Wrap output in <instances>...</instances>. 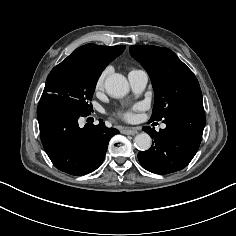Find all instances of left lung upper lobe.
<instances>
[{"mask_svg": "<svg viewBox=\"0 0 236 236\" xmlns=\"http://www.w3.org/2000/svg\"><path fill=\"white\" fill-rule=\"evenodd\" d=\"M131 55L148 72L155 92L150 121H160L187 104L203 105L193 72L170 49L152 45L130 46Z\"/></svg>", "mask_w": 236, "mask_h": 236, "instance_id": "1", "label": "left lung upper lobe"}]
</instances>
